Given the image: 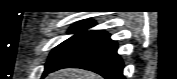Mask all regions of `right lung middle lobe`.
<instances>
[{
	"label": "right lung middle lobe",
	"instance_id": "obj_1",
	"mask_svg": "<svg viewBox=\"0 0 177 79\" xmlns=\"http://www.w3.org/2000/svg\"><path fill=\"white\" fill-rule=\"evenodd\" d=\"M95 22L92 20H84L74 24L70 32L77 33L73 37L64 41L58 45L50 54L48 62L45 67L43 76L56 64H58L65 56H67L71 51L81 45L92 33L93 31H86L88 28L94 26Z\"/></svg>",
	"mask_w": 177,
	"mask_h": 79
}]
</instances>
